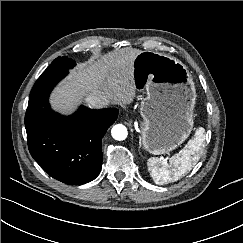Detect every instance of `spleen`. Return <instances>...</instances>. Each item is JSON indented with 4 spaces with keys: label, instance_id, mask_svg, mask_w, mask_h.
I'll return each instance as SVG.
<instances>
[{
    "label": "spleen",
    "instance_id": "spleen-1",
    "mask_svg": "<svg viewBox=\"0 0 243 243\" xmlns=\"http://www.w3.org/2000/svg\"><path fill=\"white\" fill-rule=\"evenodd\" d=\"M204 140L205 129L199 127L194 138L189 140L179 153L172 156L169 163L155 157L149 158L148 170L154 182L163 185L182 178L199 161Z\"/></svg>",
    "mask_w": 243,
    "mask_h": 243
}]
</instances>
